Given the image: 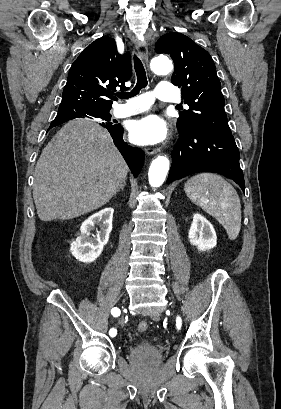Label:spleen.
<instances>
[{"mask_svg":"<svg viewBox=\"0 0 281 409\" xmlns=\"http://www.w3.org/2000/svg\"><path fill=\"white\" fill-rule=\"evenodd\" d=\"M184 190L194 205L223 225L230 241L237 239L241 229V202L230 182L219 174L201 172L185 182Z\"/></svg>","mask_w":281,"mask_h":409,"instance_id":"spleen-1","label":"spleen"}]
</instances>
